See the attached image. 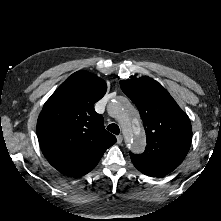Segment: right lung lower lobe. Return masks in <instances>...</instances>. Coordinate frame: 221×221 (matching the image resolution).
<instances>
[{"instance_id":"1","label":"right lung lower lobe","mask_w":221,"mask_h":221,"mask_svg":"<svg viewBox=\"0 0 221 221\" xmlns=\"http://www.w3.org/2000/svg\"><path fill=\"white\" fill-rule=\"evenodd\" d=\"M103 154L104 152L96 153L80 158L78 160H74L72 162L65 163L63 165H59L55 168L60 173L68 176H83L95 168Z\"/></svg>"}]
</instances>
